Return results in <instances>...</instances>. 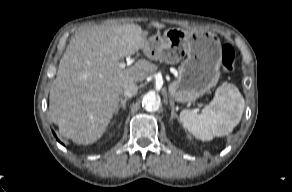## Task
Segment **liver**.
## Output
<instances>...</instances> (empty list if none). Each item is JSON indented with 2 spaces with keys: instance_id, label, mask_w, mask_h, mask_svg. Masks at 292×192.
Returning <instances> with one entry per match:
<instances>
[{
  "instance_id": "6515ba94",
  "label": "liver",
  "mask_w": 292,
  "mask_h": 192,
  "mask_svg": "<svg viewBox=\"0 0 292 192\" xmlns=\"http://www.w3.org/2000/svg\"><path fill=\"white\" fill-rule=\"evenodd\" d=\"M151 22L149 27L164 28ZM148 31L136 24L97 25L69 42L52 82L49 116L62 136L76 144H92L106 131L126 83L142 82L157 70L145 59L126 69L120 59L147 48Z\"/></svg>"
}]
</instances>
